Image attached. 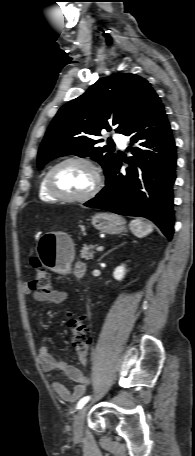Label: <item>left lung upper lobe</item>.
I'll return each mask as SVG.
<instances>
[{
	"label": "left lung upper lobe",
	"mask_w": 195,
	"mask_h": 456,
	"mask_svg": "<svg viewBox=\"0 0 195 456\" xmlns=\"http://www.w3.org/2000/svg\"><path fill=\"white\" fill-rule=\"evenodd\" d=\"M157 94L144 78L131 73L99 79L87 92L64 105L52 120L38 152V168L61 156L91 157L107 176L119 160L110 147H99L100 131L126 134ZM110 142V140H108Z\"/></svg>",
	"instance_id": "5c2ea615"
}]
</instances>
